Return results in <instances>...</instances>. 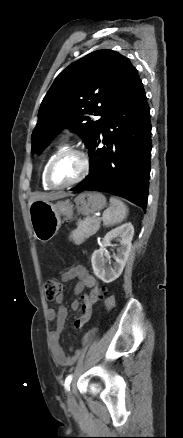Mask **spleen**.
Returning <instances> with one entry per match:
<instances>
[{
	"instance_id": "obj_1",
	"label": "spleen",
	"mask_w": 183,
	"mask_h": 438,
	"mask_svg": "<svg viewBox=\"0 0 183 438\" xmlns=\"http://www.w3.org/2000/svg\"><path fill=\"white\" fill-rule=\"evenodd\" d=\"M127 206L119 199L111 197L110 206L103 212V223L112 226L121 223L127 216Z\"/></svg>"
}]
</instances>
